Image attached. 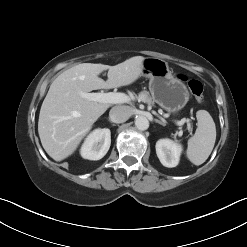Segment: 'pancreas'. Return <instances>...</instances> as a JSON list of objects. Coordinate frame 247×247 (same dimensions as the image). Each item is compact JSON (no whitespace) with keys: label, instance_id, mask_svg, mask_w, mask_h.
<instances>
[{"label":"pancreas","instance_id":"cf45deb5","mask_svg":"<svg viewBox=\"0 0 247 247\" xmlns=\"http://www.w3.org/2000/svg\"><path fill=\"white\" fill-rule=\"evenodd\" d=\"M137 99H139L140 101L147 103L148 105H153L154 101L152 100V98L149 95V92L147 91H142L139 93L138 96H135Z\"/></svg>","mask_w":247,"mask_h":247}]
</instances>
